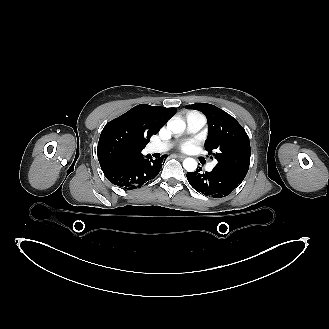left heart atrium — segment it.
I'll return each mask as SVG.
<instances>
[{"instance_id": "1", "label": "left heart atrium", "mask_w": 329, "mask_h": 329, "mask_svg": "<svg viewBox=\"0 0 329 329\" xmlns=\"http://www.w3.org/2000/svg\"><path fill=\"white\" fill-rule=\"evenodd\" d=\"M197 144H198L197 140L186 141L181 144V149L185 150V151L190 150V149L194 148Z\"/></svg>"}]
</instances>
